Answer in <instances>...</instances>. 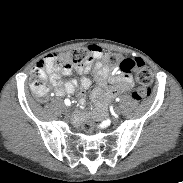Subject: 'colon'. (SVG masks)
<instances>
[{"label":"colon","instance_id":"5ec220e1","mask_svg":"<svg viewBox=\"0 0 183 183\" xmlns=\"http://www.w3.org/2000/svg\"><path fill=\"white\" fill-rule=\"evenodd\" d=\"M105 61L111 68H116L123 73L131 74L136 72L138 85L132 97L141 101L150 94V86L153 82L151 70L144 64L141 59H133L125 57L118 52H106L104 55ZM91 60V53L88 48H76L71 51L62 53L58 56L57 62L63 68L85 67ZM30 87L35 97L43 101L47 95L46 86V62L44 60L37 63L32 71L30 79ZM94 117L83 118L81 120V129L84 132L92 133L95 130Z\"/></svg>","mask_w":183,"mask_h":183}]
</instances>
